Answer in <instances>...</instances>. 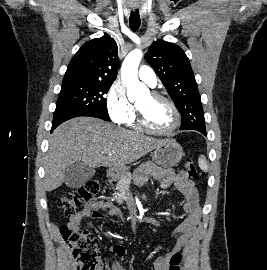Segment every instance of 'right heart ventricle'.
<instances>
[{
    "instance_id": "e07e8e85",
    "label": "right heart ventricle",
    "mask_w": 267,
    "mask_h": 270,
    "mask_svg": "<svg viewBox=\"0 0 267 270\" xmlns=\"http://www.w3.org/2000/svg\"><path fill=\"white\" fill-rule=\"evenodd\" d=\"M133 128H138V125L135 123L134 119L128 123Z\"/></svg>"
}]
</instances>
